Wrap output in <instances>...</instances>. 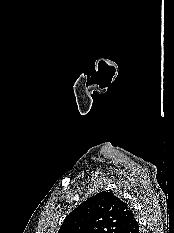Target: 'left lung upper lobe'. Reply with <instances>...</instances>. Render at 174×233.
I'll return each instance as SVG.
<instances>
[{"instance_id":"5c2ea615","label":"left lung upper lobe","mask_w":174,"mask_h":233,"mask_svg":"<svg viewBox=\"0 0 174 233\" xmlns=\"http://www.w3.org/2000/svg\"><path fill=\"white\" fill-rule=\"evenodd\" d=\"M135 219L130 206L111 192H100L75 208L58 233H121Z\"/></svg>"}]
</instances>
